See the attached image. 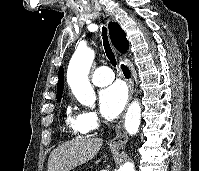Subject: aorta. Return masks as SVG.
<instances>
[{"label": "aorta", "mask_w": 199, "mask_h": 171, "mask_svg": "<svg viewBox=\"0 0 199 171\" xmlns=\"http://www.w3.org/2000/svg\"><path fill=\"white\" fill-rule=\"evenodd\" d=\"M94 57L93 50L79 47L73 54L67 70V82L72 93L81 104L89 107H94L96 100L95 92L88 79ZM140 119L141 106L138 101H133L125 115V129L129 134H136ZM120 171H134V165L127 162L123 164Z\"/></svg>", "instance_id": "762f6f07"}]
</instances>
